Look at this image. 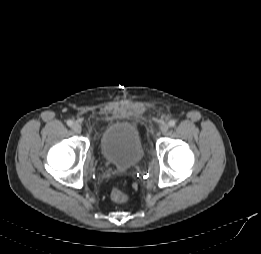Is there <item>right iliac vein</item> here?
<instances>
[{"label":"right iliac vein","instance_id":"obj_1","mask_svg":"<svg viewBox=\"0 0 261 254\" xmlns=\"http://www.w3.org/2000/svg\"><path fill=\"white\" fill-rule=\"evenodd\" d=\"M72 130H73L75 133H77V134L81 133V130H82L81 125H80L79 123H74V124L72 125Z\"/></svg>","mask_w":261,"mask_h":254}]
</instances>
